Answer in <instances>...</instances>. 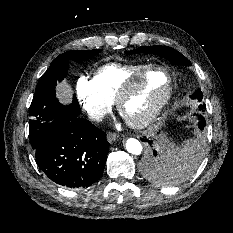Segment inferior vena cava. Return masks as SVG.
Listing matches in <instances>:
<instances>
[{"mask_svg":"<svg viewBox=\"0 0 233 233\" xmlns=\"http://www.w3.org/2000/svg\"><path fill=\"white\" fill-rule=\"evenodd\" d=\"M89 116L92 120L100 122L104 118V113L100 110H95L94 112H91Z\"/></svg>","mask_w":233,"mask_h":233,"instance_id":"inferior-vena-cava-1","label":"inferior vena cava"}]
</instances>
